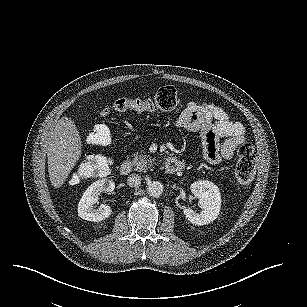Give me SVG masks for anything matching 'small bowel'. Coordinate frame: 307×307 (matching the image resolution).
<instances>
[{
    "label": "small bowel",
    "mask_w": 307,
    "mask_h": 307,
    "mask_svg": "<svg viewBox=\"0 0 307 307\" xmlns=\"http://www.w3.org/2000/svg\"><path fill=\"white\" fill-rule=\"evenodd\" d=\"M176 125L199 135V149L210 163L233 158L235 149L245 141L244 126L213 103L189 102ZM227 136L223 142L220 138Z\"/></svg>",
    "instance_id": "1"
}]
</instances>
